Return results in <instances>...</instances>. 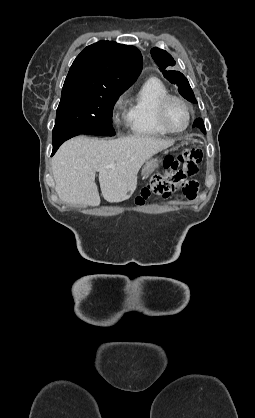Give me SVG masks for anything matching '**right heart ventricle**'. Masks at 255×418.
<instances>
[{
  "label": "right heart ventricle",
  "instance_id": "1",
  "mask_svg": "<svg viewBox=\"0 0 255 418\" xmlns=\"http://www.w3.org/2000/svg\"><path fill=\"white\" fill-rule=\"evenodd\" d=\"M169 94L158 78H148L131 99L126 122L132 134L138 136H162L169 133L158 122L157 109L160 100Z\"/></svg>",
  "mask_w": 255,
  "mask_h": 418
}]
</instances>
